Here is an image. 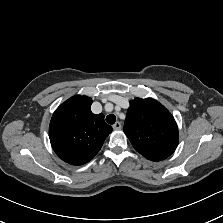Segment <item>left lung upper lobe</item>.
Here are the masks:
<instances>
[{
  "instance_id": "1",
  "label": "left lung upper lobe",
  "mask_w": 223,
  "mask_h": 223,
  "mask_svg": "<svg viewBox=\"0 0 223 223\" xmlns=\"http://www.w3.org/2000/svg\"><path fill=\"white\" fill-rule=\"evenodd\" d=\"M124 132L135 150L152 161L169 157L179 140L175 119L152 98L130 101Z\"/></svg>"
}]
</instances>
